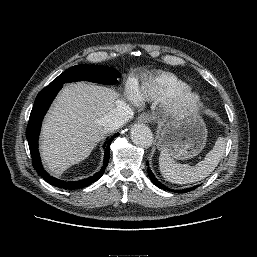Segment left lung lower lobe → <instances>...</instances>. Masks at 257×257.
Segmentation results:
<instances>
[{
	"mask_svg": "<svg viewBox=\"0 0 257 257\" xmlns=\"http://www.w3.org/2000/svg\"><path fill=\"white\" fill-rule=\"evenodd\" d=\"M148 165V163H147ZM148 171V175H149V178L151 179L152 183H154L157 187L163 189V190H168V191H173V192H177V193H186V192H189L195 188H197L198 186H195V187H191V188H187V189H184V190H173V189H169L167 188L165 185H163L162 183H160L156 178L155 176L153 175V173L151 172L150 169H147Z\"/></svg>",
	"mask_w": 257,
	"mask_h": 257,
	"instance_id": "left-lung-lower-lobe-1",
	"label": "left lung lower lobe"
}]
</instances>
